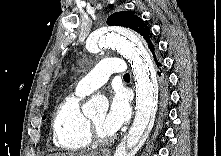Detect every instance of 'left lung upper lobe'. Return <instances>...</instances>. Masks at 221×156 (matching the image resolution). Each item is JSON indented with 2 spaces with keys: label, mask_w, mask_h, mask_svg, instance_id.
<instances>
[{
  "label": "left lung upper lobe",
  "mask_w": 221,
  "mask_h": 156,
  "mask_svg": "<svg viewBox=\"0 0 221 156\" xmlns=\"http://www.w3.org/2000/svg\"><path fill=\"white\" fill-rule=\"evenodd\" d=\"M108 25H117L130 28L139 33L147 42L150 51L152 52L154 60H158L156 55V47L152 40V33L146 23L131 11H121L110 15L107 19Z\"/></svg>",
  "instance_id": "5c2ea615"
}]
</instances>
